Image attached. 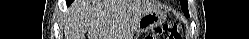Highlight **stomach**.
<instances>
[{
	"label": "stomach",
	"mask_w": 249,
	"mask_h": 39,
	"mask_svg": "<svg viewBox=\"0 0 249 39\" xmlns=\"http://www.w3.org/2000/svg\"><path fill=\"white\" fill-rule=\"evenodd\" d=\"M166 15L159 10H152L144 14L137 22L136 29L138 33L148 32L156 26L162 24Z\"/></svg>",
	"instance_id": "0dacf381"
}]
</instances>
